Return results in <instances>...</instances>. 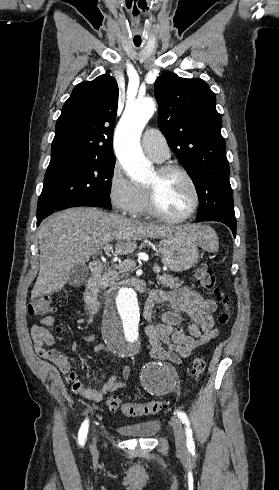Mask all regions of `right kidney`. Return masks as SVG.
Returning a JSON list of instances; mask_svg holds the SVG:
<instances>
[{
	"label": "right kidney",
	"mask_w": 279,
	"mask_h": 490,
	"mask_svg": "<svg viewBox=\"0 0 279 490\" xmlns=\"http://www.w3.org/2000/svg\"><path fill=\"white\" fill-rule=\"evenodd\" d=\"M91 322H93L92 316H91L90 320H88V324H91Z\"/></svg>",
	"instance_id": "right-kidney-1"
}]
</instances>
